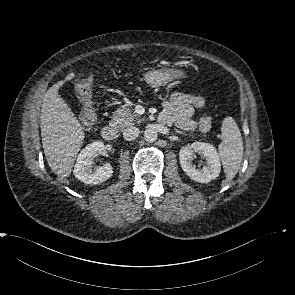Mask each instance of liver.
Listing matches in <instances>:
<instances>
[{"label":"liver","instance_id":"liver-1","mask_svg":"<svg viewBox=\"0 0 295 295\" xmlns=\"http://www.w3.org/2000/svg\"><path fill=\"white\" fill-rule=\"evenodd\" d=\"M74 77L73 72L69 73L64 80L50 87L41 107L40 128L44 154L49 167L62 178L70 176L85 138L80 122L59 95V89Z\"/></svg>","mask_w":295,"mask_h":295}]
</instances>
